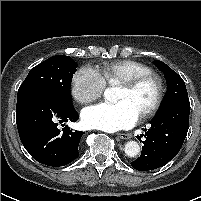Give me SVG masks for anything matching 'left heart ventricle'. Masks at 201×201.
<instances>
[{"mask_svg": "<svg viewBox=\"0 0 201 201\" xmlns=\"http://www.w3.org/2000/svg\"><path fill=\"white\" fill-rule=\"evenodd\" d=\"M156 92V84L153 80H147L135 89L119 86L116 101L128 102L136 110L138 115H141L154 102Z\"/></svg>", "mask_w": 201, "mask_h": 201, "instance_id": "b2bd125f", "label": "left heart ventricle"}]
</instances>
